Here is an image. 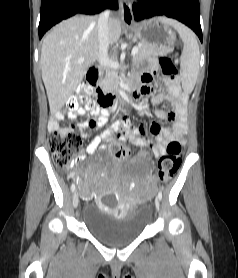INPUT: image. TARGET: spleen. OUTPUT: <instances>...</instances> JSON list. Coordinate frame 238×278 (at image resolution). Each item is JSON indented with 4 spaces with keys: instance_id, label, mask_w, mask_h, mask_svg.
Segmentation results:
<instances>
[{
    "instance_id": "1",
    "label": "spleen",
    "mask_w": 238,
    "mask_h": 278,
    "mask_svg": "<svg viewBox=\"0 0 238 278\" xmlns=\"http://www.w3.org/2000/svg\"><path fill=\"white\" fill-rule=\"evenodd\" d=\"M161 19L179 33L184 43L180 57V68L183 90L189 94L194 89L199 72L200 52L196 35L188 27L176 20L165 17Z\"/></svg>"
}]
</instances>
